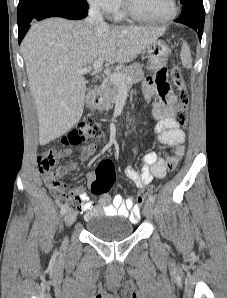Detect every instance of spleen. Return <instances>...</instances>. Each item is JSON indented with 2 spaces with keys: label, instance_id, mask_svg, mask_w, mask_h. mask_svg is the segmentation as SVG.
Listing matches in <instances>:
<instances>
[{
  "label": "spleen",
  "instance_id": "spleen-1",
  "mask_svg": "<svg viewBox=\"0 0 227 298\" xmlns=\"http://www.w3.org/2000/svg\"><path fill=\"white\" fill-rule=\"evenodd\" d=\"M180 58H181V61H182V65L185 68H187V69L192 68L191 52H190V48H189L187 42H184L182 44Z\"/></svg>",
  "mask_w": 227,
  "mask_h": 298
}]
</instances>
